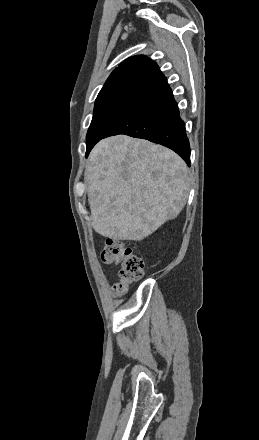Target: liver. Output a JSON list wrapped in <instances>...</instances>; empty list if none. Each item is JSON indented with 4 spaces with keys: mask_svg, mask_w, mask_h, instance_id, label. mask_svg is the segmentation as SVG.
Segmentation results:
<instances>
[{
    "mask_svg": "<svg viewBox=\"0 0 259 440\" xmlns=\"http://www.w3.org/2000/svg\"><path fill=\"white\" fill-rule=\"evenodd\" d=\"M95 232L113 240L141 241L186 204L190 177L172 150L117 135L95 145L85 170Z\"/></svg>",
    "mask_w": 259,
    "mask_h": 440,
    "instance_id": "obj_1",
    "label": "liver"
}]
</instances>
